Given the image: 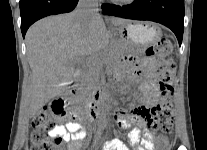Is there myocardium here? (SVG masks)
I'll return each mask as SVG.
<instances>
[{"label":"myocardium","instance_id":"obj_1","mask_svg":"<svg viewBox=\"0 0 207 150\" xmlns=\"http://www.w3.org/2000/svg\"><path fill=\"white\" fill-rule=\"evenodd\" d=\"M111 1L117 5H131L137 2V0H111Z\"/></svg>","mask_w":207,"mask_h":150}]
</instances>
